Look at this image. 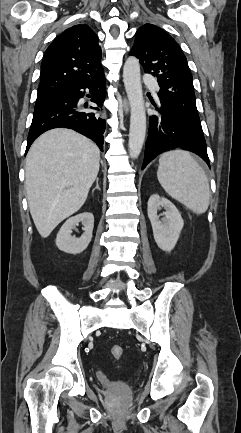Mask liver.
<instances>
[{
	"instance_id": "6515ba94",
	"label": "liver",
	"mask_w": 241,
	"mask_h": 433,
	"mask_svg": "<svg viewBox=\"0 0 241 433\" xmlns=\"http://www.w3.org/2000/svg\"><path fill=\"white\" fill-rule=\"evenodd\" d=\"M97 147L83 135L52 129L32 144L25 166L30 213L43 238L85 203L99 171Z\"/></svg>"
}]
</instances>
